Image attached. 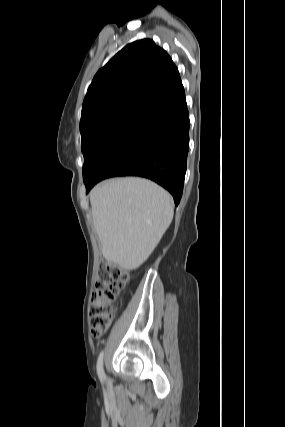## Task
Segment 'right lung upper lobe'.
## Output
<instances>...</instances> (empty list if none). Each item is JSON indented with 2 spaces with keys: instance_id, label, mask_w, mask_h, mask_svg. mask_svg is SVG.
Instances as JSON below:
<instances>
[{
  "instance_id": "cb5924a9",
  "label": "right lung upper lobe",
  "mask_w": 285,
  "mask_h": 427,
  "mask_svg": "<svg viewBox=\"0 0 285 427\" xmlns=\"http://www.w3.org/2000/svg\"><path fill=\"white\" fill-rule=\"evenodd\" d=\"M178 81L172 59L153 40L130 43L95 75L83 102L80 127L125 107L144 108Z\"/></svg>"
}]
</instances>
